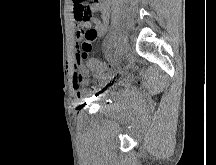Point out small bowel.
<instances>
[{
    "instance_id": "small-bowel-1",
    "label": "small bowel",
    "mask_w": 216,
    "mask_h": 165,
    "mask_svg": "<svg viewBox=\"0 0 216 165\" xmlns=\"http://www.w3.org/2000/svg\"><path fill=\"white\" fill-rule=\"evenodd\" d=\"M98 11H103V22L96 18L90 16L88 19H83L81 13H94ZM73 13L76 23V38L78 41H83L84 31L94 29L96 36L90 41L92 43L97 37L103 36L106 32L107 25L106 20L108 17V10L103 2V0H93L92 4L90 2H85L83 0H73ZM82 83V77L76 75L73 80V89L78 97H80V84Z\"/></svg>"
}]
</instances>
